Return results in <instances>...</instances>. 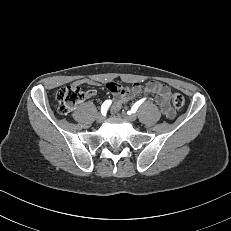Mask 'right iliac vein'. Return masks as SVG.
Here are the masks:
<instances>
[{"label":"right iliac vein","mask_w":231,"mask_h":231,"mask_svg":"<svg viewBox=\"0 0 231 231\" xmlns=\"http://www.w3.org/2000/svg\"><path fill=\"white\" fill-rule=\"evenodd\" d=\"M104 118H105V117H104L103 114H98V115L96 116V121L99 122V123H101V122H103Z\"/></svg>","instance_id":"obj_1"}]
</instances>
